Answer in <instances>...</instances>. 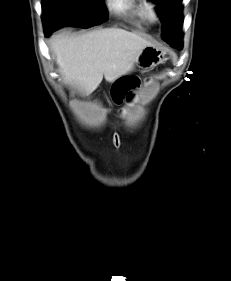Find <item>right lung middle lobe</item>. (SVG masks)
Masks as SVG:
<instances>
[{"label":"right lung middle lobe","mask_w":231,"mask_h":281,"mask_svg":"<svg viewBox=\"0 0 231 281\" xmlns=\"http://www.w3.org/2000/svg\"><path fill=\"white\" fill-rule=\"evenodd\" d=\"M45 29L56 30L65 25L89 28L107 20L103 0H42Z\"/></svg>","instance_id":"obj_1"}]
</instances>
